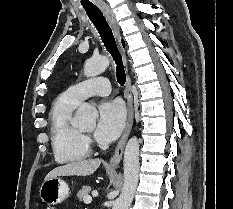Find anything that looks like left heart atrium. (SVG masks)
I'll return each mask as SVG.
<instances>
[{"label":"left heart atrium","instance_id":"39dd6f15","mask_svg":"<svg viewBox=\"0 0 233 209\" xmlns=\"http://www.w3.org/2000/svg\"><path fill=\"white\" fill-rule=\"evenodd\" d=\"M98 121L95 137L102 142L115 140L121 133L125 123V110L116 100L105 101L98 108Z\"/></svg>","mask_w":233,"mask_h":209}]
</instances>
